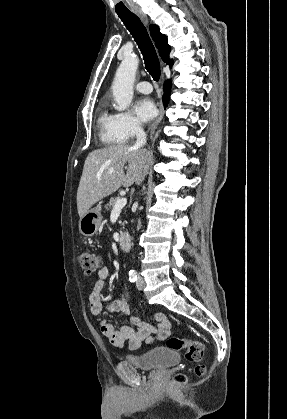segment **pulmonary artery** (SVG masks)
<instances>
[{"label":"pulmonary artery","mask_w":287,"mask_h":419,"mask_svg":"<svg viewBox=\"0 0 287 419\" xmlns=\"http://www.w3.org/2000/svg\"><path fill=\"white\" fill-rule=\"evenodd\" d=\"M136 90L140 93L148 94L152 91V86L149 82L142 81L136 85Z\"/></svg>","instance_id":"pulmonary-artery-1"}]
</instances>
